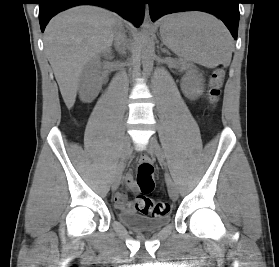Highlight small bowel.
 Returning <instances> with one entry per match:
<instances>
[{
    "label": "small bowel",
    "instance_id": "c3829d8e",
    "mask_svg": "<svg viewBox=\"0 0 279 267\" xmlns=\"http://www.w3.org/2000/svg\"><path fill=\"white\" fill-rule=\"evenodd\" d=\"M126 186L130 190H135L136 189V184L133 181V177H132L131 174H128L126 176ZM114 204H115L117 209L122 210V211H131L134 208L133 202L125 200L124 196L120 193L115 194Z\"/></svg>",
    "mask_w": 279,
    "mask_h": 267
}]
</instances>
